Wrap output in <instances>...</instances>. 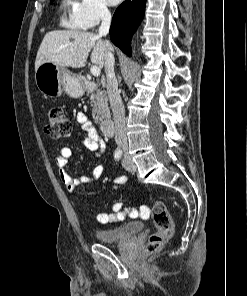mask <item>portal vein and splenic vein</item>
Listing matches in <instances>:
<instances>
[{"instance_id":"obj_1","label":"portal vein and splenic vein","mask_w":247,"mask_h":296,"mask_svg":"<svg viewBox=\"0 0 247 296\" xmlns=\"http://www.w3.org/2000/svg\"><path fill=\"white\" fill-rule=\"evenodd\" d=\"M93 76L98 77L101 73V70L98 66H92L90 69Z\"/></svg>"}]
</instances>
